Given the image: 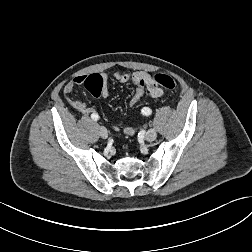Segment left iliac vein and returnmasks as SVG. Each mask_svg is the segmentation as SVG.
<instances>
[{
	"instance_id": "4c4485c4",
	"label": "left iliac vein",
	"mask_w": 252,
	"mask_h": 252,
	"mask_svg": "<svg viewBox=\"0 0 252 252\" xmlns=\"http://www.w3.org/2000/svg\"><path fill=\"white\" fill-rule=\"evenodd\" d=\"M157 137V132L155 129H149L147 132H146V135H145V139L148 141V142H152L156 139Z\"/></svg>"
}]
</instances>
